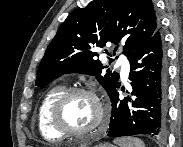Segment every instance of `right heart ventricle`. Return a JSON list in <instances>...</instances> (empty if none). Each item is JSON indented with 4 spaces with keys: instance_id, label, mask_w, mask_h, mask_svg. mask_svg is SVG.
I'll list each match as a JSON object with an SVG mask.
<instances>
[{
    "instance_id": "e07e8e85",
    "label": "right heart ventricle",
    "mask_w": 183,
    "mask_h": 147,
    "mask_svg": "<svg viewBox=\"0 0 183 147\" xmlns=\"http://www.w3.org/2000/svg\"><path fill=\"white\" fill-rule=\"evenodd\" d=\"M65 92L63 86H54L44 95L38 109V128L41 135L48 140H60L65 134L54 128L51 111L56 100Z\"/></svg>"
}]
</instances>
